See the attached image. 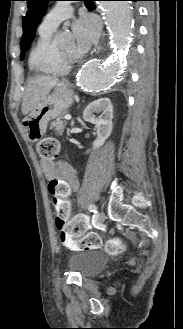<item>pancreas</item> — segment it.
I'll return each mask as SVG.
<instances>
[{
	"mask_svg": "<svg viewBox=\"0 0 183 329\" xmlns=\"http://www.w3.org/2000/svg\"><path fill=\"white\" fill-rule=\"evenodd\" d=\"M52 127L55 129L56 133L61 135L64 131V127L67 125L62 118H58L56 121L51 123Z\"/></svg>",
	"mask_w": 183,
	"mask_h": 329,
	"instance_id": "pancreas-1",
	"label": "pancreas"
}]
</instances>
